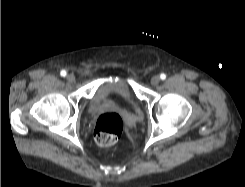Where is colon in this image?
I'll return each instance as SVG.
<instances>
[{
	"label": "colon",
	"mask_w": 245,
	"mask_h": 187,
	"mask_svg": "<svg viewBox=\"0 0 245 187\" xmlns=\"http://www.w3.org/2000/svg\"><path fill=\"white\" fill-rule=\"evenodd\" d=\"M123 131V123L116 113L98 116L94 125V139L100 146H110L117 142Z\"/></svg>",
	"instance_id": "5ec220e1"
}]
</instances>
